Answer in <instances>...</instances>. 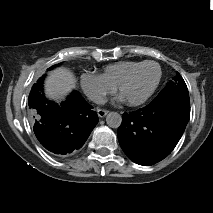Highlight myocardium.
Returning a JSON list of instances; mask_svg holds the SVG:
<instances>
[{
  "label": "myocardium",
  "instance_id": "1",
  "mask_svg": "<svg viewBox=\"0 0 213 213\" xmlns=\"http://www.w3.org/2000/svg\"><path fill=\"white\" fill-rule=\"evenodd\" d=\"M145 65H153L157 68V78L156 81L152 87V89L148 92L146 96L139 100H134V101H126L129 106H139L144 104L146 101L150 99V97L155 93L156 89L158 88L161 78H162V69L160 65L154 61H143L137 64L135 67H133L131 70L128 71L127 74H125L122 79L119 81V83L116 86L117 92L120 94L121 89L123 86L131 79L133 74L140 69L141 67Z\"/></svg>",
  "mask_w": 213,
  "mask_h": 213
}]
</instances>
